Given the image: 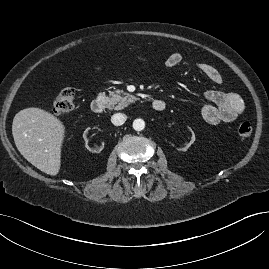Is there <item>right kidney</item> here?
Listing matches in <instances>:
<instances>
[{"instance_id": "right-kidney-1", "label": "right kidney", "mask_w": 269, "mask_h": 269, "mask_svg": "<svg viewBox=\"0 0 269 269\" xmlns=\"http://www.w3.org/2000/svg\"><path fill=\"white\" fill-rule=\"evenodd\" d=\"M92 131L90 130V128H87L85 131H84V135H83V137H84V139H85V145H86V148L88 149V150H90L91 152H93V153H96V152H100L102 149H103V147L105 146L104 145V143L101 141L99 144V146H95L94 144H93V141L91 140V137H90V133H91ZM95 146V147H94Z\"/></svg>"}]
</instances>
